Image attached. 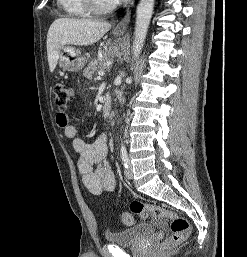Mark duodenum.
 Instances as JSON below:
<instances>
[{"mask_svg": "<svg viewBox=\"0 0 247 257\" xmlns=\"http://www.w3.org/2000/svg\"><path fill=\"white\" fill-rule=\"evenodd\" d=\"M111 110H112L111 98L109 95H106L104 97L102 109H101L102 116L105 118L109 117L111 114Z\"/></svg>", "mask_w": 247, "mask_h": 257, "instance_id": "duodenum-1", "label": "duodenum"}]
</instances>
